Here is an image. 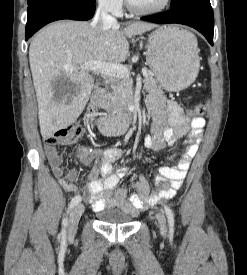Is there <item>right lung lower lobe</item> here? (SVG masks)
<instances>
[{
    "mask_svg": "<svg viewBox=\"0 0 247 275\" xmlns=\"http://www.w3.org/2000/svg\"><path fill=\"white\" fill-rule=\"evenodd\" d=\"M95 5L74 0H44L28 7L26 40L44 25L61 19L89 20L93 17Z\"/></svg>",
    "mask_w": 247,
    "mask_h": 275,
    "instance_id": "98d812e1",
    "label": "right lung lower lobe"
}]
</instances>
